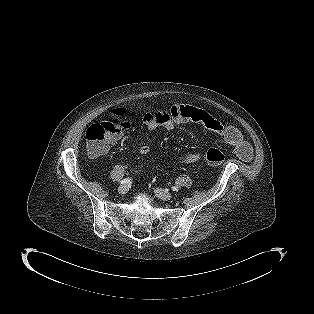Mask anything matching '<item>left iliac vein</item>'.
<instances>
[{
	"label": "left iliac vein",
	"mask_w": 314,
	"mask_h": 314,
	"mask_svg": "<svg viewBox=\"0 0 314 314\" xmlns=\"http://www.w3.org/2000/svg\"><path fill=\"white\" fill-rule=\"evenodd\" d=\"M154 192L158 198L165 200V201H168V200L172 199V197H173L171 193H169L163 189H160V188H156L154 190Z\"/></svg>",
	"instance_id": "1"
}]
</instances>
